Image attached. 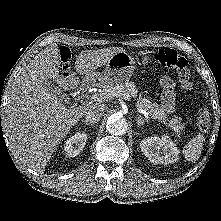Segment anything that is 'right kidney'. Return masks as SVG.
Segmentation results:
<instances>
[{"label": "right kidney", "instance_id": "ca27d5eb", "mask_svg": "<svg viewBox=\"0 0 221 221\" xmlns=\"http://www.w3.org/2000/svg\"><path fill=\"white\" fill-rule=\"evenodd\" d=\"M87 134L85 132H76L73 136L64 142V152L68 157L77 156L85 147Z\"/></svg>", "mask_w": 221, "mask_h": 221}]
</instances>
